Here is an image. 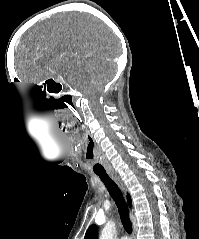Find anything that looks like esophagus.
I'll list each match as a JSON object with an SVG mask.
<instances>
[{"mask_svg":"<svg viewBox=\"0 0 199 239\" xmlns=\"http://www.w3.org/2000/svg\"><path fill=\"white\" fill-rule=\"evenodd\" d=\"M116 179L119 181L121 188L124 190L123 184L120 182V180L118 178H116Z\"/></svg>","mask_w":199,"mask_h":239,"instance_id":"obj_1","label":"esophagus"}]
</instances>
